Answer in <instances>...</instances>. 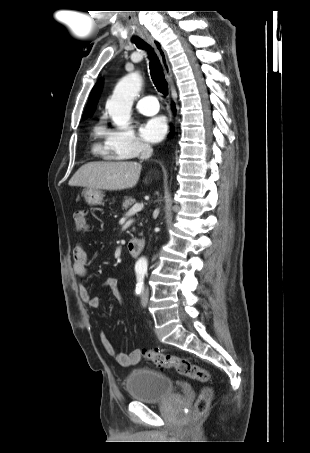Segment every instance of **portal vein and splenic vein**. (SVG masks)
<instances>
[{
    "instance_id": "1",
    "label": "portal vein and splenic vein",
    "mask_w": 310,
    "mask_h": 453,
    "mask_svg": "<svg viewBox=\"0 0 310 453\" xmlns=\"http://www.w3.org/2000/svg\"><path fill=\"white\" fill-rule=\"evenodd\" d=\"M143 204H140V203H136L132 206V208L128 211V215H133L139 211H141L143 209Z\"/></svg>"
}]
</instances>
